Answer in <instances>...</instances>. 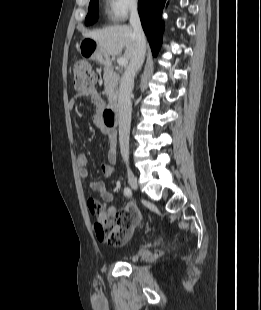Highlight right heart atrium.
<instances>
[{"label":"right heart atrium","mask_w":261,"mask_h":310,"mask_svg":"<svg viewBox=\"0 0 261 310\" xmlns=\"http://www.w3.org/2000/svg\"><path fill=\"white\" fill-rule=\"evenodd\" d=\"M108 16L115 23L124 22L139 6V0H107Z\"/></svg>","instance_id":"d8ad5b80"}]
</instances>
